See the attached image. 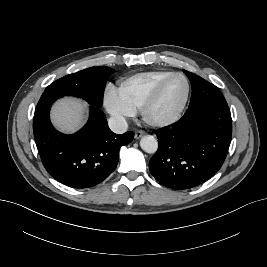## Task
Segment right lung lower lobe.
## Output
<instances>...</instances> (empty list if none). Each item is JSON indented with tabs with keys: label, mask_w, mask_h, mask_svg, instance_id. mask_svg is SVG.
<instances>
[{
	"label": "right lung lower lobe",
	"mask_w": 267,
	"mask_h": 267,
	"mask_svg": "<svg viewBox=\"0 0 267 267\" xmlns=\"http://www.w3.org/2000/svg\"><path fill=\"white\" fill-rule=\"evenodd\" d=\"M60 97L42 94L35 109L33 131L42 163L62 184L73 188L95 186L115 170L120 147L130 143L134 133H113L99 106L91 105L87 124L73 135L62 134L49 119L50 107Z\"/></svg>",
	"instance_id": "1"
}]
</instances>
